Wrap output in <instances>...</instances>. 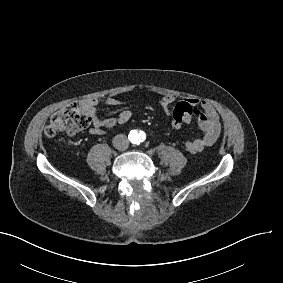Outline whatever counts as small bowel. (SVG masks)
I'll list each match as a JSON object with an SVG mask.
<instances>
[{
    "instance_id": "c3829d8e",
    "label": "small bowel",
    "mask_w": 283,
    "mask_h": 283,
    "mask_svg": "<svg viewBox=\"0 0 283 283\" xmlns=\"http://www.w3.org/2000/svg\"><path fill=\"white\" fill-rule=\"evenodd\" d=\"M184 101L192 102L195 105V119L197 120L198 127L201 131V136L194 138L186 144L187 151L195 154L212 146L216 142L221 134L222 126L215 108L210 103L196 97L176 99L172 95H167L161 99V105L170 113L178 104ZM104 103L112 107H118L124 104L123 101L111 97L106 98ZM98 105L99 99L96 97L86 98L80 103L82 111L91 118L92 127L90 128V133L93 135H101L104 133V129L125 124L132 117L130 110H123L116 118H102L97 113Z\"/></svg>"
}]
</instances>
